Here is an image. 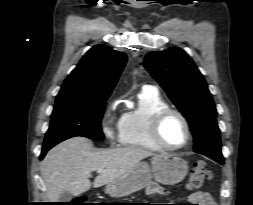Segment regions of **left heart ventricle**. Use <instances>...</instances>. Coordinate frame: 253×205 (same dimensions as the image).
I'll use <instances>...</instances> for the list:
<instances>
[{
  "label": "left heart ventricle",
  "mask_w": 253,
  "mask_h": 205,
  "mask_svg": "<svg viewBox=\"0 0 253 205\" xmlns=\"http://www.w3.org/2000/svg\"><path fill=\"white\" fill-rule=\"evenodd\" d=\"M161 135L167 144L180 145L186 139V130L178 117L171 116L163 124Z\"/></svg>",
  "instance_id": "obj_1"
}]
</instances>
